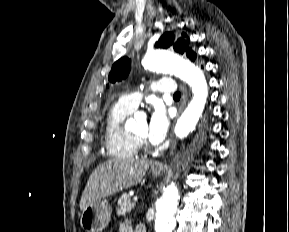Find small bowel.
<instances>
[{
  "label": "small bowel",
  "instance_id": "c3829d8e",
  "mask_svg": "<svg viewBox=\"0 0 289 232\" xmlns=\"http://www.w3.org/2000/svg\"><path fill=\"white\" fill-rule=\"evenodd\" d=\"M119 232H136V229H132L128 224L121 223L119 226Z\"/></svg>",
  "mask_w": 289,
  "mask_h": 232
}]
</instances>
